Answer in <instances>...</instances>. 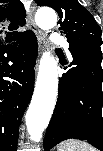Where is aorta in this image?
Listing matches in <instances>:
<instances>
[{
    "mask_svg": "<svg viewBox=\"0 0 103 151\" xmlns=\"http://www.w3.org/2000/svg\"><path fill=\"white\" fill-rule=\"evenodd\" d=\"M35 22L41 29L49 30L56 26L57 14L51 8H40L36 12ZM57 93V63L50 52H45L40 60L35 91L25 117L31 140H41L52 116Z\"/></svg>",
    "mask_w": 103,
    "mask_h": 151,
    "instance_id": "1",
    "label": "aorta"
}]
</instances>
